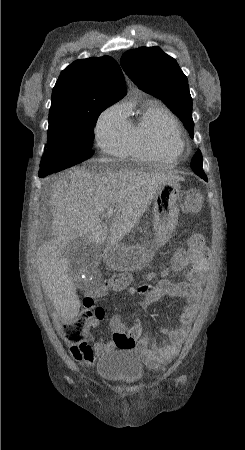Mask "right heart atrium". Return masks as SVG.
I'll return each instance as SVG.
<instances>
[{"label": "right heart atrium", "mask_w": 245, "mask_h": 450, "mask_svg": "<svg viewBox=\"0 0 245 450\" xmlns=\"http://www.w3.org/2000/svg\"><path fill=\"white\" fill-rule=\"evenodd\" d=\"M95 138L105 154L115 158L127 155L128 121L123 105H113L99 116L95 125Z\"/></svg>", "instance_id": "d8ad5b80"}]
</instances>
